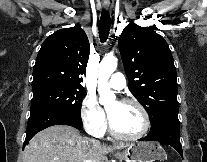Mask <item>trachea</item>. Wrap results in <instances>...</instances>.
<instances>
[{
    "label": "trachea",
    "instance_id": "trachea-1",
    "mask_svg": "<svg viewBox=\"0 0 207 162\" xmlns=\"http://www.w3.org/2000/svg\"><path fill=\"white\" fill-rule=\"evenodd\" d=\"M110 25V16L103 11L99 22V37L102 43L106 42L108 38Z\"/></svg>",
    "mask_w": 207,
    "mask_h": 162
}]
</instances>
